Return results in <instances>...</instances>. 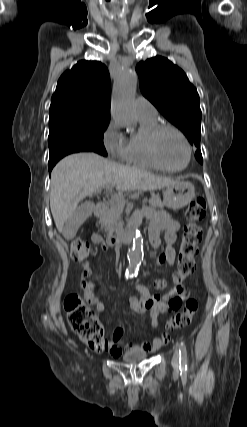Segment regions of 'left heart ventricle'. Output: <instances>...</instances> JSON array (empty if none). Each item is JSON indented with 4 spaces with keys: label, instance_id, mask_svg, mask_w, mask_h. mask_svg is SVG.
Segmentation results:
<instances>
[{
    "label": "left heart ventricle",
    "instance_id": "b2bd125f",
    "mask_svg": "<svg viewBox=\"0 0 247 427\" xmlns=\"http://www.w3.org/2000/svg\"><path fill=\"white\" fill-rule=\"evenodd\" d=\"M157 154L161 162L170 168L182 167L187 159L182 139L173 131L162 132L157 140Z\"/></svg>",
    "mask_w": 247,
    "mask_h": 427
}]
</instances>
